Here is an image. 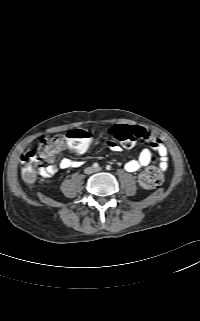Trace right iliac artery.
Segmentation results:
<instances>
[{
  "instance_id": "right-iliac-artery-1",
  "label": "right iliac artery",
  "mask_w": 200,
  "mask_h": 321,
  "mask_svg": "<svg viewBox=\"0 0 200 321\" xmlns=\"http://www.w3.org/2000/svg\"><path fill=\"white\" fill-rule=\"evenodd\" d=\"M93 167H94V168H98V167H99V164H98V163H94V164H93Z\"/></svg>"
}]
</instances>
